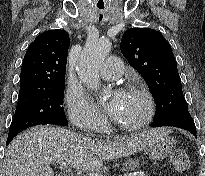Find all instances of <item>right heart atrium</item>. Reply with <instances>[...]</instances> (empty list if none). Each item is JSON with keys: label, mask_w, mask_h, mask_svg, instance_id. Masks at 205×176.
Masks as SVG:
<instances>
[{"label": "right heart atrium", "mask_w": 205, "mask_h": 176, "mask_svg": "<svg viewBox=\"0 0 205 176\" xmlns=\"http://www.w3.org/2000/svg\"><path fill=\"white\" fill-rule=\"evenodd\" d=\"M65 101L69 118L75 126L92 130L104 122L102 114L80 90H68Z\"/></svg>", "instance_id": "obj_1"}]
</instances>
